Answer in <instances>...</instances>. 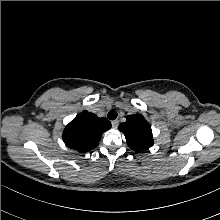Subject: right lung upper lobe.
<instances>
[{
  "mask_svg": "<svg viewBox=\"0 0 220 220\" xmlns=\"http://www.w3.org/2000/svg\"><path fill=\"white\" fill-rule=\"evenodd\" d=\"M110 128L111 123L105 117L83 111L66 126L63 141L69 148L84 153L94 149L102 134Z\"/></svg>",
  "mask_w": 220,
  "mask_h": 220,
  "instance_id": "right-lung-upper-lobe-1",
  "label": "right lung upper lobe"
}]
</instances>
